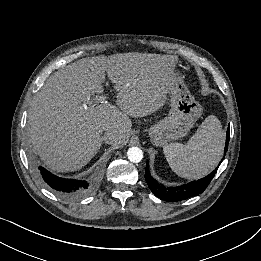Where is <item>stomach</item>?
<instances>
[{"instance_id":"obj_1","label":"stomach","mask_w":261,"mask_h":261,"mask_svg":"<svg viewBox=\"0 0 261 261\" xmlns=\"http://www.w3.org/2000/svg\"><path fill=\"white\" fill-rule=\"evenodd\" d=\"M175 81L170 89L169 115L146 131L154 146L184 137L202 114V106L191 95L184 77L175 70Z\"/></svg>"}]
</instances>
